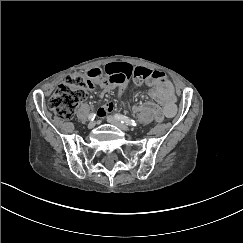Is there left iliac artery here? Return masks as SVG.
<instances>
[{
	"label": "left iliac artery",
	"mask_w": 243,
	"mask_h": 243,
	"mask_svg": "<svg viewBox=\"0 0 243 243\" xmlns=\"http://www.w3.org/2000/svg\"><path fill=\"white\" fill-rule=\"evenodd\" d=\"M115 117L121 121V123L126 124V125H130V126H137L136 121H134L133 119H130L124 115L121 114H116Z\"/></svg>",
	"instance_id": "44dca946"
}]
</instances>
